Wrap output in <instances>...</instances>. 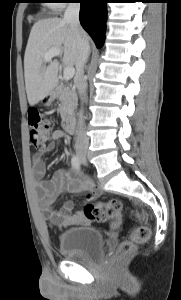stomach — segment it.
<instances>
[{"label":"stomach","mask_w":181,"mask_h":300,"mask_svg":"<svg viewBox=\"0 0 181 300\" xmlns=\"http://www.w3.org/2000/svg\"><path fill=\"white\" fill-rule=\"evenodd\" d=\"M57 97V91L53 90L52 92H50L49 94L45 95L42 99L41 102L44 105H50L54 99Z\"/></svg>","instance_id":"stomach-1"}]
</instances>
